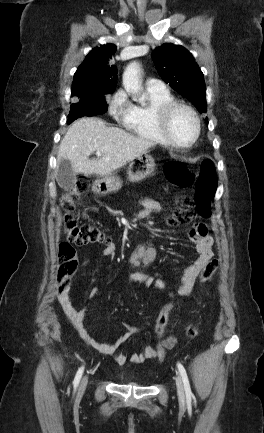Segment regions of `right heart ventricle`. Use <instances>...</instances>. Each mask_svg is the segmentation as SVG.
I'll return each instance as SVG.
<instances>
[{
  "label": "right heart ventricle",
  "mask_w": 264,
  "mask_h": 433,
  "mask_svg": "<svg viewBox=\"0 0 264 433\" xmlns=\"http://www.w3.org/2000/svg\"><path fill=\"white\" fill-rule=\"evenodd\" d=\"M146 96L147 103L133 105L132 113L124 126L139 138L169 145L159 129L156 112L161 106L174 101V98L168 90L154 92L147 89Z\"/></svg>",
  "instance_id": "obj_1"
}]
</instances>
